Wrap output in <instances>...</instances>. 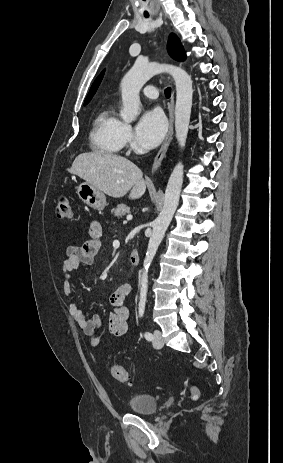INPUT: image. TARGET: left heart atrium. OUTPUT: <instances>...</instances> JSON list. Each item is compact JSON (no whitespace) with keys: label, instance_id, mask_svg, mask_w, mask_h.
<instances>
[{"label":"left heart atrium","instance_id":"39dd6f15","mask_svg":"<svg viewBox=\"0 0 283 463\" xmlns=\"http://www.w3.org/2000/svg\"><path fill=\"white\" fill-rule=\"evenodd\" d=\"M167 131V121L158 109L146 111L136 126V139L147 149L156 147L164 138Z\"/></svg>","mask_w":283,"mask_h":463}]
</instances>
